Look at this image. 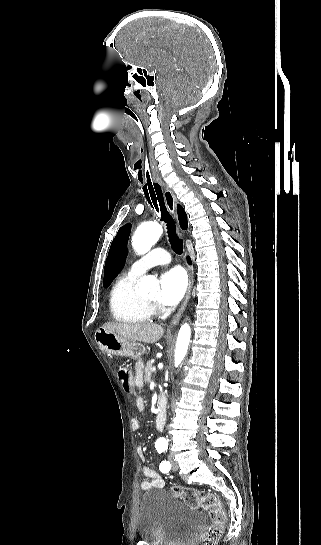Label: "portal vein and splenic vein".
Masks as SVG:
<instances>
[{
    "label": "portal vein and splenic vein",
    "instance_id": "obj_1",
    "mask_svg": "<svg viewBox=\"0 0 321 545\" xmlns=\"http://www.w3.org/2000/svg\"><path fill=\"white\" fill-rule=\"evenodd\" d=\"M153 371H154V373H157V370H156V368H153Z\"/></svg>",
    "mask_w": 321,
    "mask_h": 545
}]
</instances>
